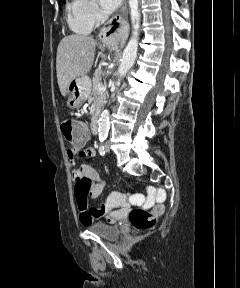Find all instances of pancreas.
I'll return each mask as SVG.
<instances>
[{"mask_svg": "<svg viewBox=\"0 0 240 288\" xmlns=\"http://www.w3.org/2000/svg\"><path fill=\"white\" fill-rule=\"evenodd\" d=\"M101 79V72L98 70L95 72L93 77V92L92 95L88 98V102H96V109H99V107L105 102L106 99V90H98V84L99 80Z\"/></svg>", "mask_w": 240, "mask_h": 288, "instance_id": "cf45deb5", "label": "pancreas"}]
</instances>
